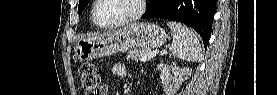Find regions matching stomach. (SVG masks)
Returning <instances> with one entry per match:
<instances>
[{"instance_id": "1", "label": "stomach", "mask_w": 277, "mask_h": 95, "mask_svg": "<svg viewBox=\"0 0 277 95\" xmlns=\"http://www.w3.org/2000/svg\"><path fill=\"white\" fill-rule=\"evenodd\" d=\"M166 40L164 29L157 24L137 23L79 40L74 55L80 61H91L132 48H158Z\"/></svg>"}]
</instances>
